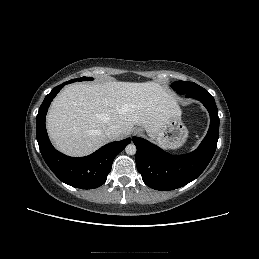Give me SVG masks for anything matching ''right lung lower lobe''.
<instances>
[{
  "mask_svg": "<svg viewBox=\"0 0 259 259\" xmlns=\"http://www.w3.org/2000/svg\"><path fill=\"white\" fill-rule=\"evenodd\" d=\"M69 83L71 82L53 88L46 95L36 117L37 141L45 162L62 182L81 189H93L105 183L114 158L131 142V138L106 144L93 154L81 158L69 157L58 152L49 141L45 117L53 98Z\"/></svg>",
  "mask_w": 259,
  "mask_h": 259,
  "instance_id": "right-lung-lower-lobe-1",
  "label": "right lung lower lobe"
}]
</instances>
